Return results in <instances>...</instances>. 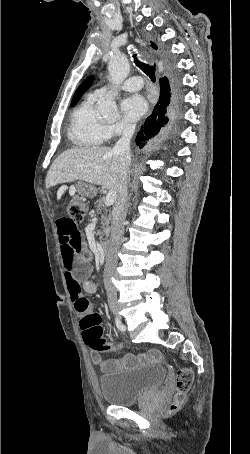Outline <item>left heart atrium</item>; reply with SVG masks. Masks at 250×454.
<instances>
[{"label":"left heart atrium","instance_id":"obj_1","mask_svg":"<svg viewBox=\"0 0 250 454\" xmlns=\"http://www.w3.org/2000/svg\"><path fill=\"white\" fill-rule=\"evenodd\" d=\"M120 108L126 121L135 122L146 113L148 105L142 95L132 94L122 100Z\"/></svg>","mask_w":250,"mask_h":454}]
</instances>
